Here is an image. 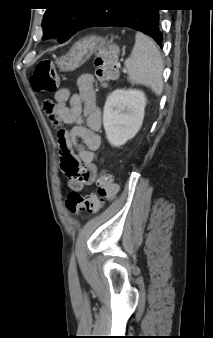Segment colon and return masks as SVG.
Listing matches in <instances>:
<instances>
[{
	"instance_id": "obj_1",
	"label": "colon",
	"mask_w": 213,
	"mask_h": 338,
	"mask_svg": "<svg viewBox=\"0 0 213 338\" xmlns=\"http://www.w3.org/2000/svg\"><path fill=\"white\" fill-rule=\"evenodd\" d=\"M119 50L115 44H109L98 51L94 61L95 76L99 81L107 82L117 73L116 63L118 61ZM30 84L35 92L53 93L59 87V78L50 60L40 61L34 73L30 77ZM46 107V110H50ZM62 132L59 134V138ZM61 169L68 177L73 176L82 166L73 156L68 147L60 148ZM118 191V185L108 173H102L97 182L96 193L82 195L76 191H71L66 198V206L73 215L87 212L97 214L105 200L113 199Z\"/></svg>"
}]
</instances>
